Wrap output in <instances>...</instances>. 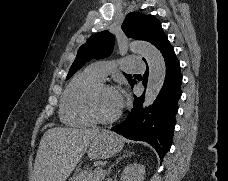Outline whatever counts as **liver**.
Here are the masks:
<instances>
[{
	"label": "liver",
	"mask_w": 228,
	"mask_h": 181,
	"mask_svg": "<svg viewBox=\"0 0 228 181\" xmlns=\"http://www.w3.org/2000/svg\"><path fill=\"white\" fill-rule=\"evenodd\" d=\"M101 129H48L38 147L32 181H66Z\"/></svg>",
	"instance_id": "6515ba94"
}]
</instances>
